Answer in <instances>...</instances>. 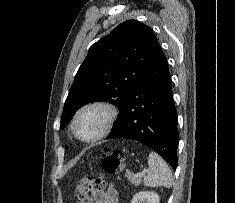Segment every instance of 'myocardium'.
I'll use <instances>...</instances> for the list:
<instances>
[{"label":"myocardium","mask_w":235,"mask_h":203,"mask_svg":"<svg viewBox=\"0 0 235 203\" xmlns=\"http://www.w3.org/2000/svg\"><path fill=\"white\" fill-rule=\"evenodd\" d=\"M95 108L102 109L106 113V120L103 125V128L99 132V134H97L96 136L92 138H82L77 132V128H76L77 120L83 112H85L86 110L95 109ZM117 117H118V109L112 103L107 102V101H92V102L84 104L76 111L71 122V130L75 138L78 139L79 141H82L85 143H95L109 134Z\"/></svg>","instance_id":"1"}]
</instances>
